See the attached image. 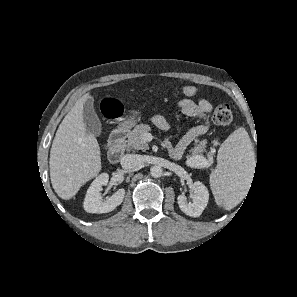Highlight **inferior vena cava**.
<instances>
[{
  "label": "inferior vena cava",
  "mask_w": 297,
  "mask_h": 297,
  "mask_svg": "<svg viewBox=\"0 0 297 297\" xmlns=\"http://www.w3.org/2000/svg\"><path fill=\"white\" fill-rule=\"evenodd\" d=\"M142 156L138 154H126L121 158V166L127 170L137 169L142 165Z\"/></svg>",
  "instance_id": "obj_1"
}]
</instances>
